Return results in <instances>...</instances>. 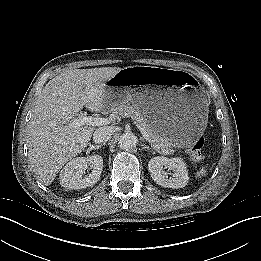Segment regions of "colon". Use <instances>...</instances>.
<instances>
[{
    "label": "colon",
    "mask_w": 261,
    "mask_h": 261,
    "mask_svg": "<svg viewBox=\"0 0 261 261\" xmlns=\"http://www.w3.org/2000/svg\"><path fill=\"white\" fill-rule=\"evenodd\" d=\"M204 141L202 138H198L194 144L191 147V156L195 160H202L203 159V153H202V147H203Z\"/></svg>",
    "instance_id": "1"
}]
</instances>
